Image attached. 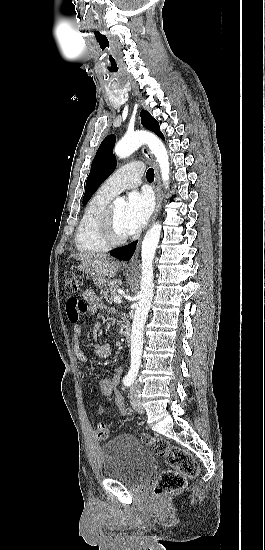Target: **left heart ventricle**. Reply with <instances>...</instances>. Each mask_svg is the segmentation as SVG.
Wrapping results in <instances>:
<instances>
[{
	"label": "left heart ventricle",
	"mask_w": 265,
	"mask_h": 550,
	"mask_svg": "<svg viewBox=\"0 0 265 550\" xmlns=\"http://www.w3.org/2000/svg\"><path fill=\"white\" fill-rule=\"evenodd\" d=\"M125 206H113L115 228L118 234H129L125 225Z\"/></svg>",
	"instance_id": "left-heart-ventricle-1"
}]
</instances>
